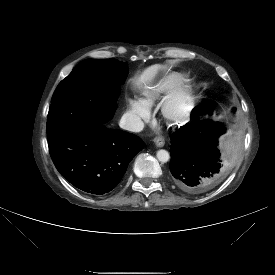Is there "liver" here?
<instances>
[{"label": "liver", "instance_id": "1", "mask_svg": "<svg viewBox=\"0 0 275 275\" xmlns=\"http://www.w3.org/2000/svg\"><path fill=\"white\" fill-rule=\"evenodd\" d=\"M161 65H152L146 68L141 75L134 80L135 87L139 89H146L155 79L157 72L161 69Z\"/></svg>", "mask_w": 275, "mask_h": 275}]
</instances>
